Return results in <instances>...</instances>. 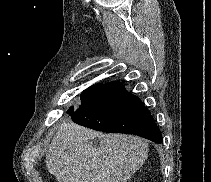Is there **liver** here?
<instances>
[{
	"instance_id": "liver-1",
	"label": "liver",
	"mask_w": 211,
	"mask_h": 182,
	"mask_svg": "<svg viewBox=\"0 0 211 182\" xmlns=\"http://www.w3.org/2000/svg\"><path fill=\"white\" fill-rule=\"evenodd\" d=\"M147 156L148 143L140 137L98 133L68 121L57 128L46 166L58 182H127Z\"/></svg>"
}]
</instances>
